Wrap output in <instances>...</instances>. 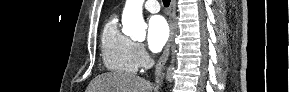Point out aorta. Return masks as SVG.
<instances>
[{
  "label": "aorta",
  "mask_w": 289,
  "mask_h": 92,
  "mask_svg": "<svg viewBox=\"0 0 289 92\" xmlns=\"http://www.w3.org/2000/svg\"><path fill=\"white\" fill-rule=\"evenodd\" d=\"M144 0H127L123 14V32L136 39H143L146 35V23L142 15Z\"/></svg>",
  "instance_id": "1"
}]
</instances>
